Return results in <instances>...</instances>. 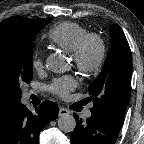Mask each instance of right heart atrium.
<instances>
[{
    "instance_id": "1",
    "label": "right heart atrium",
    "mask_w": 144,
    "mask_h": 144,
    "mask_svg": "<svg viewBox=\"0 0 144 144\" xmlns=\"http://www.w3.org/2000/svg\"><path fill=\"white\" fill-rule=\"evenodd\" d=\"M32 66L35 70H40L43 68V58L40 54H36L32 59Z\"/></svg>"
}]
</instances>
